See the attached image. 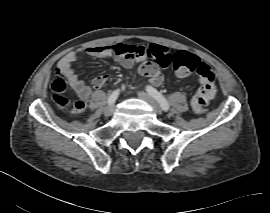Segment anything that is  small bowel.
I'll return each mask as SVG.
<instances>
[{
    "mask_svg": "<svg viewBox=\"0 0 270 213\" xmlns=\"http://www.w3.org/2000/svg\"><path fill=\"white\" fill-rule=\"evenodd\" d=\"M151 49L156 57L161 56L163 59L169 60V63H171L172 57L175 54L173 50L164 45L154 44ZM84 53L93 58L112 59L120 63L124 68H131L134 65V59L132 57H122L117 55L113 46H90L84 50ZM79 54L80 51L74 50L68 52L61 58L57 66L59 77L56 80L60 81V88L62 91H65L68 86L75 90L80 98V102L84 104L90 99L95 90L100 89L108 82L109 77L107 75L98 76L92 81L91 85H87L72 67L73 62L78 58ZM138 73L150 77L151 85L158 86L162 82L161 70L155 65L140 63L138 66ZM81 111L82 110H73L74 113H79Z\"/></svg>",
    "mask_w": 270,
    "mask_h": 213,
    "instance_id": "1",
    "label": "small bowel"
}]
</instances>
